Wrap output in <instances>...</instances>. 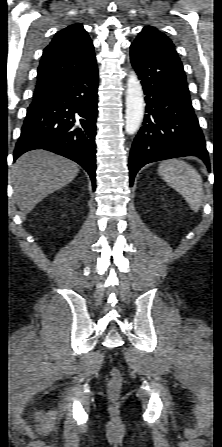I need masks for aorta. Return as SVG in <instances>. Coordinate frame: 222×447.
<instances>
[{
  "label": "aorta",
  "instance_id": "762f6f07",
  "mask_svg": "<svg viewBox=\"0 0 222 447\" xmlns=\"http://www.w3.org/2000/svg\"><path fill=\"white\" fill-rule=\"evenodd\" d=\"M144 108L142 86L137 75L132 72L129 75L126 90L125 130L128 134L132 135L139 129L143 120Z\"/></svg>",
  "mask_w": 222,
  "mask_h": 447
}]
</instances>
